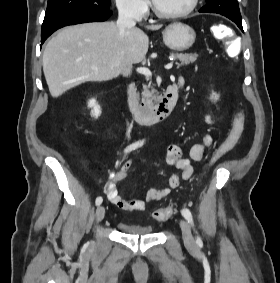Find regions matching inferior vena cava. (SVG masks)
<instances>
[{
  "mask_svg": "<svg viewBox=\"0 0 280 283\" xmlns=\"http://www.w3.org/2000/svg\"><path fill=\"white\" fill-rule=\"evenodd\" d=\"M136 24L133 12L127 5H121L118 7V20H117V28L119 30V35L123 37L125 35L126 29L130 27H134ZM132 72V66L128 67L124 74L126 76L130 75Z\"/></svg>",
  "mask_w": 280,
  "mask_h": 283,
  "instance_id": "inferior-vena-cava-1",
  "label": "inferior vena cava"
}]
</instances>
